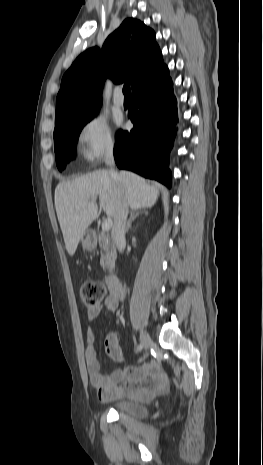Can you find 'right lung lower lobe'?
Wrapping results in <instances>:
<instances>
[{
	"label": "right lung lower lobe",
	"instance_id": "1",
	"mask_svg": "<svg viewBox=\"0 0 263 465\" xmlns=\"http://www.w3.org/2000/svg\"><path fill=\"white\" fill-rule=\"evenodd\" d=\"M132 92L133 106L128 118L134 127L129 132L117 133L115 162L121 169L132 170L170 187L171 172L167 166L178 116L167 66Z\"/></svg>",
	"mask_w": 263,
	"mask_h": 465
}]
</instances>
